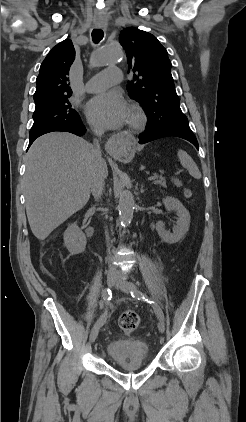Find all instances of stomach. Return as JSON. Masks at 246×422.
Returning a JSON list of instances; mask_svg holds the SVG:
<instances>
[{
    "label": "stomach",
    "instance_id": "obj_1",
    "mask_svg": "<svg viewBox=\"0 0 246 422\" xmlns=\"http://www.w3.org/2000/svg\"><path fill=\"white\" fill-rule=\"evenodd\" d=\"M135 154V150L132 148H127V150L124 152V154L122 155L123 159L125 161H131L134 157Z\"/></svg>",
    "mask_w": 246,
    "mask_h": 422
}]
</instances>
